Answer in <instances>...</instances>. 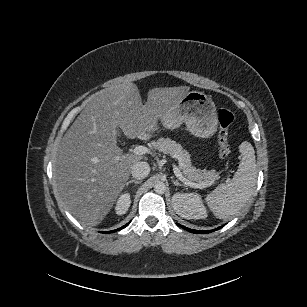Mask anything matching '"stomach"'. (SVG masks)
<instances>
[{
    "mask_svg": "<svg viewBox=\"0 0 307 307\" xmlns=\"http://www.w3.org/2000/svg\"><path fill=\"white\" fill-rule=\"evenodd\" d=\"M160 122L168 130L177 129L184 123L187 130L199 138H210L218 128L214 102L198 91L188 92L177 108L161 115Z\"/></svg>",
    "mask_w": 307,
    "mask_h": 307,
    "instance_id": "obj_1",
    "label": "stomach"
}]
</instances>
